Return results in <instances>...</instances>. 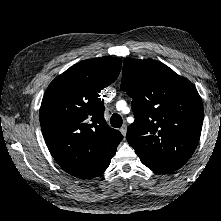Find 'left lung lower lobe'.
<instances>
[{"mask_svg":"<svg viewBox=\"0 0 221 221\" xmlns=\"http://www.w3.org/2000/svg\"><path fill=\"white\" fill-rule=\"evenodd\" d=\"M139 158L145 166H147L148 168H150L152 171L156 173H170L180 168L176 165H172V164L159 161L156 159H152L149 157H145V156H139Z\"/></svg>","mask_w":221,"mask_h":221,"instance_id":"left-lung-lower-lobe-1","label":"left lung lower lobe"}]
</instances>
